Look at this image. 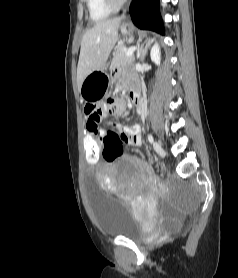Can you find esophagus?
Instances as JSON below:
<instances>
[{
	"mask_svg": "<svg viewBox=\"0 0 238 278\" xmlns=\"http://www.w3.org/2000/svg\"><path fill=\"white\" fill-rule=\"evenodd\" d=\"M130 22V18L129 17H127V19H126V23H129Z\"/></svg>",
	"mask_w": 238,
	"mask_h": 278,
	"instance_id": "1",
	"label": "esophagus"
}]
</instances>
